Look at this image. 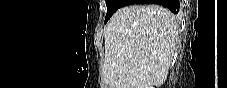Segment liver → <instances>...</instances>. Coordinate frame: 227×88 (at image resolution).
<instances>
[{
    "instance_id": "obj_1",
    "label": "liver",
    "mask_w": 227,
    "mask_h": 88,
    "mask_svg": "<svg viewBox=\"0 0 227 88\" xmlns=\"http://www.w3.org/2000/svg\"><path fill=\"white\" fill-rule=\"evenodd\" d=\"M178 22L160 5L119 9L105 29L103 82L110 88H148L167 79Z\"/></svg>"
}]
</instances>
